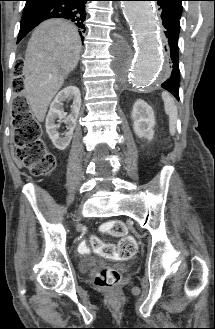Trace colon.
I'll return each instance as SVG.
<instances>
[{
  "instance_id": "5ec220e1",
  "label": "colon",
  "mask_w": 215,
  "mask_h": 329,
  "mask_svg": "<svg viewBox=\"0 0 215 329\" xmlns=\"http://www.w3.org/2000/svg\"><path fill=\"white\" fill-rule=\"evenodd\" d=\"M13 62H26V55H13ZM12 73H22V66H12ZM16 92L23 90V82L16 80L13 83ZM12 126L14 129L13 140L16 146L15 156L17 160L27 167L34 176L50 174L56 166L55 156L47 149L42 139V128L34 118L25 98L17 95L13 103ZM102 231L113 237L120 238L117 246L105 244L97 237H91L88 242L80 245L81 251H87L90 245L94 250L106 257L120 259L131 258L137 249L135 239L127 234L123 222L114 220L106 222ZM120 281V273L113 268L102 269L94 279L96 286L113 289Z\"/></svg>"
}]
</instances>
